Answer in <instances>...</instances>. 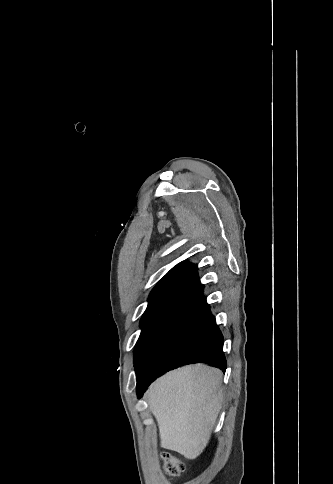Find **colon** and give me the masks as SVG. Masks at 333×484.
Returning <instances> with one entry per match:
<instances>
[{
  "instance_id": "1",
  "label": "colon",
  "mask_w": 333,
  "mask_h": 484,
  "mask_svg": "<svg viewBox=\"0 0 333 484\" xmlns=\"http://www.w3.org/2000/svg\"><path fill=\"white\" fill-rule=\"evenodd\" d=\"M161 458L164 463L166 472L171 476H177L184 471V464L181 460L168 453H163Z\"/></svg>"
}]
</instances>
